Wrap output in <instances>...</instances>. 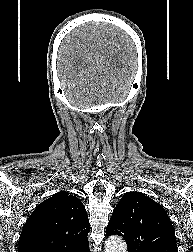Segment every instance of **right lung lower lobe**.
I'll list each match as a JSON object with an SVG mask.
<instances>
[{"instance_id":"obj_1","label":"right lung lower lobe","mask_w":193,"mask_h":252,"mask_svg":"<svg viewBox=\"0 0 193 252\" xmlns=\"http://www.w3.org/2000/svg\"><path fill=\"white\" fill-rule=\"evenodd\" d=\"M80 252H90L89 247H86L85 249L81 250Z\"/></svg>"}]
</instances>
